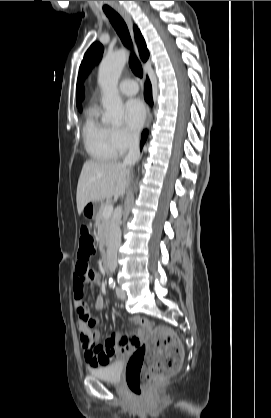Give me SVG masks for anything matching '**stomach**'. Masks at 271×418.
Here are the masks:
<instances>
[{
    "mask_svg": "<svg viewBox=\"0 0 271 418\" xmlns=\"http://www.w3.org/2000/svg\"><path fill=\"white\" fill-rule=\"evenodd\" d=\"M100 206H101V202L100 201L87 203L85 205V207L83 208V215L87 219H93L95 217V215L97 214Z\"/></svg>",
    "mask_w": 271,
    "mask_h": 418,
    "instance_id": "obj_1",
    "label": "stomach"
}]
</instances>
